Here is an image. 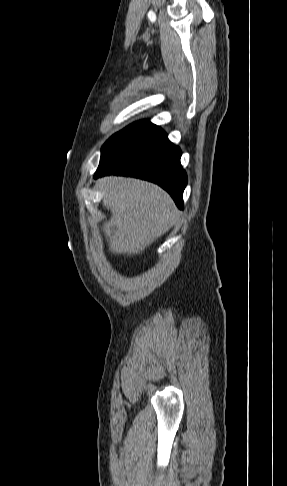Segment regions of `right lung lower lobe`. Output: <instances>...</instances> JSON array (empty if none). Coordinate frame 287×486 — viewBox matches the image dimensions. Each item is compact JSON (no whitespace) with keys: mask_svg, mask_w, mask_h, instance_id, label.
Here are the masks:
<instances>
[{"mask_svg":"<svg viewBox=\"0 0 287 486\" xmlns=\"http://www.w3.org/2000/svg\"><path fill=\"white\" fill-rule=\"evenodd\" d=\"M181 150L155 127L139 139L100 161L94 178L115 174L133 176L160 185L183 208L187 175L180 164Z\"/></svg>","mask_w":287,"mask_h":486,"instance_id":"right-lung-lower-lobe-1","label":"right lung lower lobe"}]
</instances>
